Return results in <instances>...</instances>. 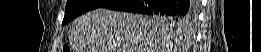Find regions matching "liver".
<instances>
[{
	"label": "liver",
	"mask_w": 261,
	"mask_h": 52,
	"mask_svg": "<svg viewBox=\"0 0 261 52\" xmlns=\"http://www.w3.org/2000/svg\"><path fill=\"white\" fill-rule=\"evenodd\" d=\"M69 33L76 52H179L181 45L174 25L159 16L105 8L75 19Z\"/></svg>",
	"instance_id": "liver-1"
}]
</instances>
